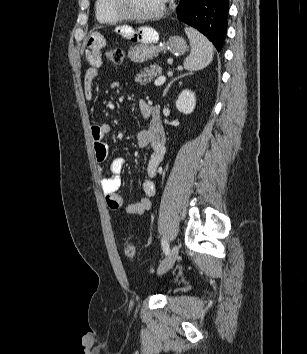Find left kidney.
I'll return each mask as SVG.
<instances>
[{"instance_id": "5707ae66", "label": "left kidney", "mask_w": 307, "mask_h": 354, "mask_svg": "<svg viewBox=\"0 0 307 354\" xmlns=\"http://www.w3.org/2000/svg\"><path fill=\"white\" fill-rule=\"evenodd\" d=\"M195 106V93L188 89L183 90L176 101V108L184 114H190L195 109Z\"/></svg>"}]
</instances>
